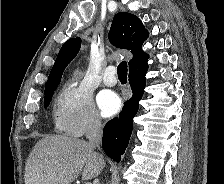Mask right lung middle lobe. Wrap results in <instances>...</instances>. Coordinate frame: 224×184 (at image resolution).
Masks as SVG:
<instances>
[{
	"label": "right lung middle lobe",
	"mask_w": 224,
	"mask_h": 184,
	"mask_svg": "<svg viewBox=\"0 0 224 184\" xmlns=\"http://www.w3.org/2000/svg\"><path fill=\"white\" fill-rule=\"evenodd\" d=\"M54 91H50V92H45V97H44V107L47 108L50 101H51V98H52V95H53Z\"/></svg>",
	"instance_id": "dd1d6c3e"
}]
</instances>
